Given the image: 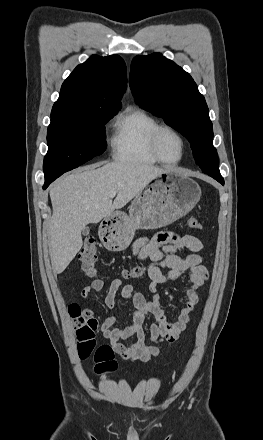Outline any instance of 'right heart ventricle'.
Segmentation results:
<instances>
[{
    "mask_svg": "<svg viewBox=\"0 0 263 440\" xmlns=\"http://www.w3.org/2000/svg\"><path fill=\"white\" fill-rule=\"evenodd\" d=\"M159 121L140 108H127L115 121L111 137L112 156L120 162L156 164L150 136Z\"/></svg>",
    "mask_w": 263,
    "mask_h": 440,
    "instance_id": "e07e8e85",
    "label": "right heart ventricle"
}]
</instances>
